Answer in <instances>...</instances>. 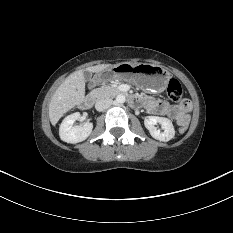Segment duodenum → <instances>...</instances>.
Here are the masks:
<instances>
[{"instance_id": "410a0bca", "label": "duodenum", "mask_w": 233, "mask_h": 233, "mask_svg": "<svg viewBox=\"0 0 233 233\" xmlns=\"http://www.w3.org/2000/svg\"><path fill=\"white\" fill-rule=\"evenodd\" d=\"M129 99H130V102L134 105L139 103V99H137L136 97L130 96ZM93 103H94V96L87 95L82 99L80 105L83 109H89L92 107Z\"/></svg>"}]
</instances>
